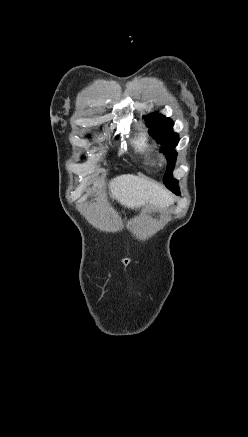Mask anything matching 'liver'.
Masks as SVG:
<instances>
[{
  "label": "liver",
  "mask_w": 248,
  "mask_h": 437,
  "mask_svg": "<svg viewBox=\"0 0 248 437\" xmlns=\"http://www.w3.org/2000/svg\"><path fill=\"white\" fill-rule=\"evenodd\" d=\"M103 183L95 182L96 187ZM111 196L127 208H140L146 204L158 208H166L173 204L172 196L161 186L141 177L126 174L114 178L110 182Z\"/></svg>",
  "instance_id": "6515ba94"
}]
</instances>
